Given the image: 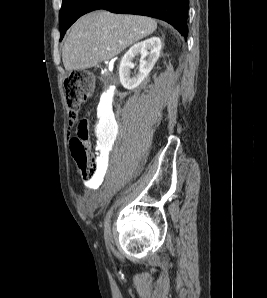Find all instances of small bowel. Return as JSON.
Listing matches in <instances>:
<instances>
[{
    "instance_id": "1",
    "label": "small bowel",
    "mask_w": 267,
    "mask_h": 298,
    "mask_svg": "<svg viewBox=\"0 0 267 298\" xmlns=\"http://www.w3.org/2000/svg\"><path fill=\"white\" fill-rule=\"evenodd\" d=\"M100 199L98 195L85 194L78 197V204L84 213H90L95 209Z\"/></svg>"
}]
</instances>
